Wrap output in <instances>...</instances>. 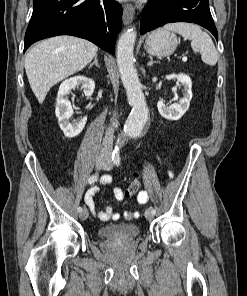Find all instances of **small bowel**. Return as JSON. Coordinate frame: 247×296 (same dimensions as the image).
<instances>
[{
  "label": "small bowel",
  "mask_w": 247,
  "mask_h": 296,
  "mask_svg": "<svg viewBox=\"0 0 247 296\" xmlns=\"http://www.w3.org/2000/svg\"><path fill=\"white\" fill-rule=\"evenodd\" d=\"M112 177L110 175H105L101 179V184L104 186H107L111 184ZM99 188L98 187H92L87 190L84 196V202L87 206V208L91 211V213L98 217L101 221L107 222L109 220H116L119 218V214L114 212L113 209L110 206L105 207L103 210H99L96 207L95 203V196L98 194ZM114 197L117 201H122L125 197L124 191L116 187L114 188ZM149 199V195L146 191H141L137 195V202L138 204H145ZM124 216L128 220H132L138 216L137 212L132 211H126L124 213Z\"/></svg>",
  "instance_id": "c3829d8e"
}]
</instances>
